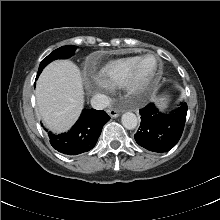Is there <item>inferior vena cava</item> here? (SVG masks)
<instances>
[{"label":"inferior vena cava","instance_id":"602c4592","mask_svg":"<svg viewBox=\"0 0 220 220\" xmlns=\"http://www.w3.org/2000/svg\"><path fill=\"white\" fill-rule=\"evenodd\" d=\"M110 103V98L104 94H96L91 99V105L94 109L102 110Z\"/></svg>","mask_w":220,"mask_h":220}]
</instances>
